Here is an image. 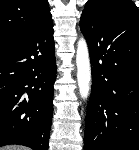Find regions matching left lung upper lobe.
I'll use <instances>...</instances> for the list:
<instances>
[{
    "instance_id": "1",
    "label": "left lung upper lobe",
    "mask_w": 139,
    "mask_h": 150,
    "mask_svg": "<svg viewBox=\"0 0 139 150\" xmlns=\"http://www.w3.org/2000/svg\"><path fill=\"white\" fill-rule=\"evenodd\" d=\"M127 4L135 6V4L130 0H88L85 8L99 7L102 9H108L117 6H124Z\"/></svg>"
}]
</instances>
